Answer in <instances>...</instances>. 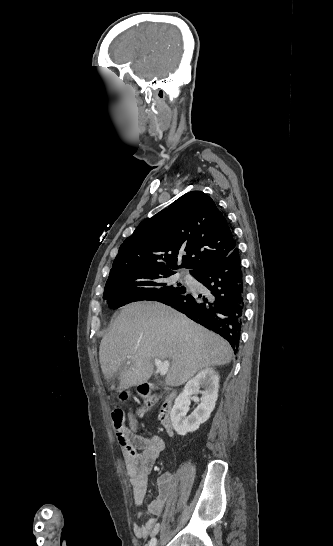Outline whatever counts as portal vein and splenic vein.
Returning a JSON list of instances; mask_svg holds the SVG:
<instances>
[{"mask_svg":"<svg viewBox=\"0 0 333 546\" xmlns=\"http://www.w3.org/2000/svg\"><path fill=\"white\" fill-rule=\"evenodd\" d=\"M154 364L161 375L167 374L170 363L168 360L161 361L159 358L154 359Z\"/></svg>","mask_w":333,"mask_h":546,"instance_id":"portal-vein-and-splenic-vein-1","label":"portal vein and splenic vein"}]
</instances>
